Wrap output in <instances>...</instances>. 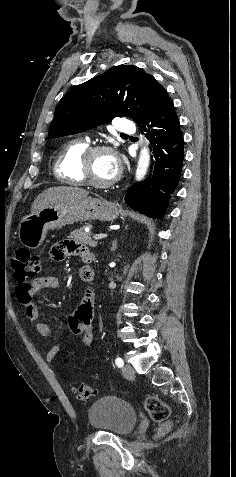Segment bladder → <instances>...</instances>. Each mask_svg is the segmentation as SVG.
<instances>
[{
	"instance_id": "bladder-1",
	"label": "bladder",
	"mask_w": 236,
	"mask_h": 477,
	"mask_svg": "<svg viewBox=\"0 0 236 477\" xmlns=\"http://www.w3.org/2000/svg\"><path fill=\"white\" fill-rule=\"evenodd\" d=\"M87 419L93 429L126 436L135 428L138 415L124 400L115 396H105L90 406Z\"/></svg>"
}]
</instances>
